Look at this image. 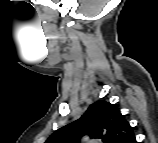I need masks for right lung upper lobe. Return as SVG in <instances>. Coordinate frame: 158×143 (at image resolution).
<instances>
[{"label": "right lung upper lobe", "mask_w": 158, "mask_h": 143, "mask_svg": "<svg viewBox=\"0 0 158 143\" xmlns=\"http://www.w3.org/2000/svg\"><path fill=\"white\" fill-rule=\"evenodd\" d=\"M85 134L106 139L108 143H132L135 138L120 110L101 100L90 105L80 119L55 131L46 143H79Z\"/></svg>", "instance_id": "cb5924a9"}]
</instances>
